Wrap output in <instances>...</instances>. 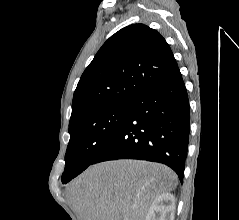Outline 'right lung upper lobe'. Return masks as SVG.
I'll return each instance as SVG.
<instances>
[{"mask_svg":"<svg viewBox=\"0 0 239 220\" xmlns=\"http://www.w3.org/2000/svg\"><path fill=\"white\" fill-rule=\"evenodd\" d=\"M177 66L165 39L143 24L111 36L82 74L74 92L70 123L91 112L129 104Z\"/></svg>","mask_w":239,"mask_h":220,"instance_id":"cb5924a9","label":"right lung upper lobe"}]
</instances>
